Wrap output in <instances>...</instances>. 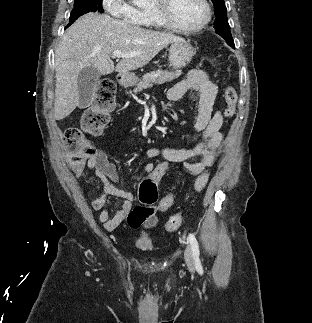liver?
Listing matches in <instances>:
<instances>
[{"label":"liver","mask_w":312,"mask_h":323,"mask_svg":"<svg viewBox=\"0 0 312 323\" xmlns=\"http://www.w3.org/2000/svg\"><path fill=\"white\" fill-rule=\"evenodd\" d=\"M180 36L152 32L114 20L107 14H85L78 18L61 38L55 50V120H63L79 106L77 78L84 68H97L101 76L112 72H131L149 64L150 60ZM136 54L122 58L116 66L112 54Z\"/></svg>","instance_id":"liver-1"}]
</instances>
